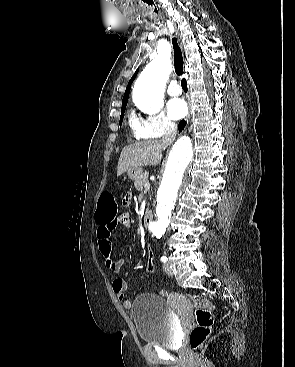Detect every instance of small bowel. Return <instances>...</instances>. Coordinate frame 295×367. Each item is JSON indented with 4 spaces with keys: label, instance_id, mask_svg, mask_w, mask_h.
<instances>
[{
    "label": "small bowel",
    "instance_id": "small-bowel-1",
    "mask_svg": "<svg viewBox=\"0 0 295 367\" xmlns=\"http://www.w3.org/2000/svg\"><path fill=\"white\" fill-rule=\"evenodd\" d=\"M125 200V206H128L131 202V195L127 194ZM97 243L99 251L104 259L106 268L114 274H118L125 264L124 259H114L111 244L112 232L116 229L118 225L124 227H130L131 220L126 212H119L118 218L113 219L109 222L103 223L97 220ZM129 285L123 278L117 277L112 282V289L116 297L122 302L125 309H129L132 306L130 300L125 298V293L127 292Z\"/></svg>",
    "mask_w": 295,
    "mask_h": 367
}]
</instances>
